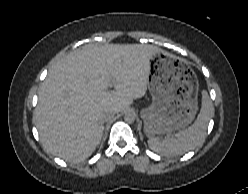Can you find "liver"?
<instances>
[{
	"label": "liver",
	"instance_id": "liver-1",
	"mask_svg": "<svg viewBox=\"0 0 248 194\" xmlns=\"http://www.w3.org/2000/svg\"><path fill=\"white\" fill-rule=\"evenodd\" d=\"M159 51L149 44L88 45L59 60L40 86L34 112L44 149L69 162L88 158L100 143L105 114L146 94L150 57Z\"/></svg>",
	"mask_w": 248,
	"mask_h": 194
}]
</instances>
